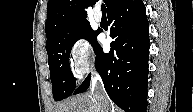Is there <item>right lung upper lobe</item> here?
<instances>
[{
  "label": "right lung upper lobe",
  "instance_id": "1",
  "mask_svg": "<svg viewBox=\"0 0 193 112\" xmlns=\"http://www.w3.org/2000/svg\"><path fill=\"white\" fill-rule=\"evenodd\" d=\"M125 0H104L107 15L113 12ZM97 0H49L48 17L45 23L47 43L57 34L72 27L89 24L86 20V8L93 6Z\"/></svg>",
  "mask_w": 193,
  "mask_h": 112
}]
</instances>
